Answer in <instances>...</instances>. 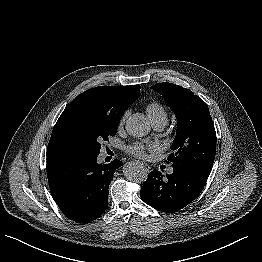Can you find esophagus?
Here are the masks:
<instances>
[{
    "instance_id": "esophagus-1",
    "label": "esophagus",
    "mask_w": 262,
    "mask_h": 262,
    "mask_svg": "<svg viewBox=\"0 0 262 262\" xmlns=\"http://www.w3.org/2000/svg\"><path fill=\"white\" fill-rule=\"evenodd\" d=\"M140 165L143 167V169H144L145 171H147V172L150 171V166H149V165H147V164H145V163H143V162H140Z\"/></svg>"
}]
</instances>
